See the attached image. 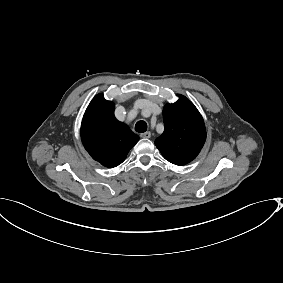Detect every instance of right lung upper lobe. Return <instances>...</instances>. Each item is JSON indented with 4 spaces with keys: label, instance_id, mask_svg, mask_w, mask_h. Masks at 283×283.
I'll return each instance as SVG.
<instances>
[{
    "label": "right lung upper lobe",
    "instance_id": "1",
    "mask_svg": "<svg viewBox=\"0 0 283 283\" xmlns=\"http://www.w3.org/2000/svg\"><path fill=\"white\" fill-rule=\"evenodd\" d=\"M83 145L92 158L103 166L121 164L139 137L114 116V104L96 95L90 102L81 126Z\"/></svg>",
    "mask_w": 283,
    "mask_h": 283
}]
</instances>
